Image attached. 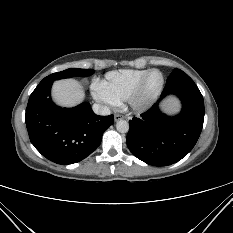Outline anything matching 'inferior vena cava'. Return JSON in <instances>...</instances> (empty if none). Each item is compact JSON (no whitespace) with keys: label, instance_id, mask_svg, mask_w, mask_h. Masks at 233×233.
I'll return each mask as SVG.
<instances>
[{"label":"inferior vena cava","instance_id":"inferior-vena-cava-1","mask_svg":"<svg viewBox=\"0 0 233 233\" xmlns=\"http://www.w3.org/2000/svg\"><path fill=\"white\" fill-rule=\"evenodd\" d=\"M92 109H93L94 113L97 115L106 116V115L111 114V111L108 107L100 105V104H94L92 106Z\"/></svg>","mask_w":233,"mask_h":233}]
</instances>
